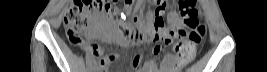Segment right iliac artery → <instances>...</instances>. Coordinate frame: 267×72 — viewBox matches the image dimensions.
I'll return each mask as SVG.
<instances>
[{
    "mask_svg": "<svg viewBox=\"0 0 267 72\" xmlns=\"http://www.w3.org/2000/svg\"><path fill=\"white\" fill-rule=\"evenodd\" d=\"M141 4H142V1H138V3L136 4V7H135V12L140 8ZM93 66H94V64L92 62L89 63V65L87 67L88 71H91Z\"/></svg>",
    "mask_w": 267,
    "mask_h": 72,
    "instance_id": "obj_1",
    "label": "right iliac artery"
}]
</instances>
